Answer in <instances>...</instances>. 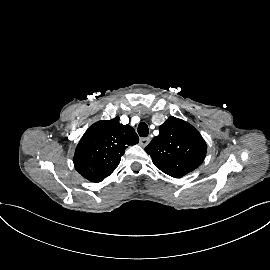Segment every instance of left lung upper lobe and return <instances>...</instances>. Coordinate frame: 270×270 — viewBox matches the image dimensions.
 I'll return each instance as SVG.
<instances>
[{"mask_svg":"<svg viewBox=\"0 0 270 270\" xmlns=\"http://www.w3.org/2000/svg\"><path fill=\"white\" fill-rule=\"evenodd\" d=\"M145 150L158 169L181 178L202 164L207 145L192 125L171 116L159 127V135Z\"/></svg>","mask_w":270,"mask_h":270,"instance_id":"1","label":"left lung upper lobe"}]
</instances>
